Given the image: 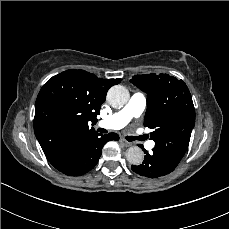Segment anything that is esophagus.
<instances>
[{
	"label": "esophagus",
	"instance_id": "34e87169",
	"mask_svg": "<svg viewBox=\"0 0 229 229\" xmlns=\"http://www.w3.org/2000/svg\"><path fill=\"white\" fill-rule=\"evenodd\" d=\"M120 143L125 147H130L131 143L125 140L124 138H120Z\"/></svg>",
	"mask_w": 229,
	"mask_h": 229
}]
</instances>
